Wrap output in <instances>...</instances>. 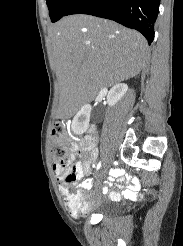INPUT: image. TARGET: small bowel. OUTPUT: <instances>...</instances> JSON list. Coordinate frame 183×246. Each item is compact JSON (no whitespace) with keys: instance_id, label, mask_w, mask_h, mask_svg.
I'll return each mask as SVG.
<instances>
[{"instance_id":"1","label":"small bowel","mask_w":183,"mask_h":246,"mask_svg":"<svg viewBox=\"0 0 183 246\" xmlns=\"http://www.w3.org/2000/svg\"><path fill=\"white\" fill-rule=\"evenodd\" d=\"M97 139L95 136L87 137L81 145L72 143L69 145L68 164L62 166L54 164L53 171L57 179L58 189L63 196L64 201L70 213L77 217L87 213L96 202V196L93 194H85L84 190H89L92 186L90 180L84 181L80 188L75 192H71L70 186L66 178H75V181L85 175H89L92 171V161L97 156L96 148ZM81 151L85 158L84 162H75L76 152ZM110 174H113V179H117L116 189L111 190L110 185H114V180H107V184L102 187V193L108 195L111 200L117 201L123 195L125 198H136L138 189H143V184H139L137 180H132L131 184H126V179H132V174H126V169H110ZM121 174V176H120ZM74 181V182H75ZM76 197H81L88 205L86 212L77 211L72 208V202Z\"/></svg>"}]
</instances>
